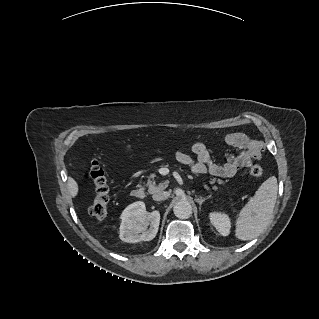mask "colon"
Listing matches in <instances>:
<instances>
[{"instance_id":"obj_1","label":"colon","mask_w":319,"mask_h":319,"mask_svg":"<svg viewBox=\"0 0 319 319\" xmlns=\"http://www.w3.org/2000/svg\"><path fill=\"white\" fill-rule=\"evenodd\" d=\"M249 173L254 177H259L263 174V169L258 165H253L249 168ZM83 174L92 184L95 193L90 206V215L96 222H102L106 218L109 204V186L106 174L97 160L90 161Z\"/></svg>"}]
</instances>
